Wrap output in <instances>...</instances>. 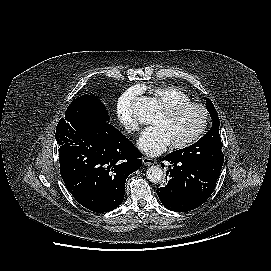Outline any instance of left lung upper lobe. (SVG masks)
<instances>
[{
	"mask_svg": "<svg viewBox=\"0 0 271 271\" xmlns=\"http://www.w3.org/2000/svg\"><path fill=\"white\" fill-rule=\"evenodd\" d=\"M206 105L213 121L212 128L193 145L174 151L172 154L181 160L199 164L210 172L219 175L224 162L222 142L219 135L220 121L214 105L208 98Z\"/></svg>",
	"mask_w": 271,
	"mask_h": 271,
	"instance_id": "left-lung-upper-lobe-1",
	"label": "left lung upper lobe"
}]
</instances>
